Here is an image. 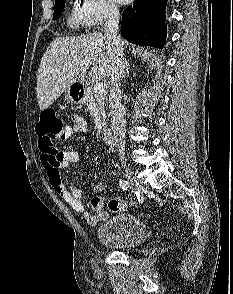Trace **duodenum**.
<instances>
[{
  "mask_svg": "<svg viewBox=\"0 0 233 294\" xmlns=\"http://www.w3.org/2000/svg\"><path fill=\"white\" fill-rule=\"evenodd\" d=\"M81 89H82L81 86H76L75 92L79 93L81 91ZM101 137H102L103 142L106 145L113 146L115 144L114 135L109 129H103L102 133H101Z\"/></svg>",
  "mask_w": 233,
  "mask_h": 294,
  "instance_id": "duodenum-1",
  "label": "duodenum"
}]
</instances>
